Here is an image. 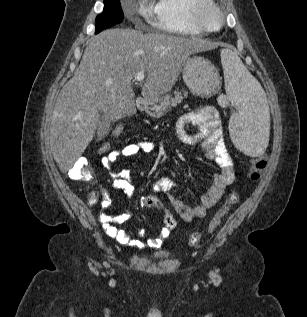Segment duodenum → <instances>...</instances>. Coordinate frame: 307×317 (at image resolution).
Listing matches in <instances>:
<instances>
[{
    "label": "duodenum",
    "instance_id": "410a0bca",
    "mask_svg": "<svg viewBox=\"0 0 307 317\" xmlns=\"http://www.w3.org/2000/svg\"><path fill=\"white\" fill-rule=\"evenodd\" d=\"M138 104H139L140 107H143L145 105V102L143 100H139Z\"/></svg>",
    "mask_w": 307,
    "mask_h": 317
}]
</instances>
